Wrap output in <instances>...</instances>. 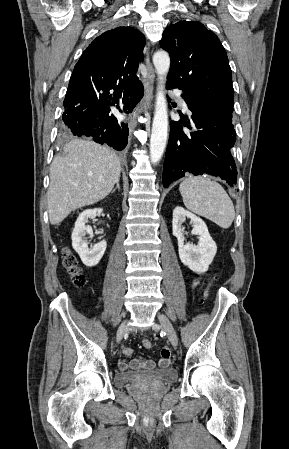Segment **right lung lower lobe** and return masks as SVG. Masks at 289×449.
Instances as JSON below:
<instances>
[{
    "label": "right lung lower lobe",
    "instance_id": "right-lung-lower-lobe-1",
    "mask_svg": "<svg viewBox=\"0 0 289 449\" xmlns=\"http://www.w3.org/2000/svg\"><path fill=\"white\" fill-rule=\"evenodd\" d=\"M113 89V96L109 91ZM144 88L138 77L113 84L105 81H84L71 76L64 99L62 115L67 136H92L100 144L123 150L128 141V127L117 121L110 107L120 103L131 113L141 100ZM116 108L121 111L120 106Z\"/></svg>",
    "mask_w": 289,
    "mask_h": 449
}]
</instances>
